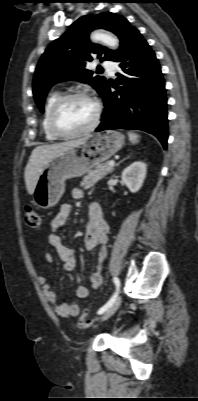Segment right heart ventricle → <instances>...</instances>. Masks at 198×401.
I'll return each instance as SVG.
<instances>
[{
	"label": "right heart ventricle",
	"instance_id": "obj_1",
	"mask_svg": "<svg viewBox=\"0 0 198 401\" xmlns=\"http://www.w3.org/2000/svg\"><path fill=\"white\" fill-rule=\"evenodd\" d=\"M60 96H62V95H61V93L59 91H54L48 96V98H47V100L45 102L42 121H41V127H42V131H43L44 137L48 141H54V140L58 139L55 135L52 134V132L49 129L48 116H49V112L51 110V107L53 106L55 101Z\"/></svg>",
	"mask_w": 198,
	"mask_h": 401
}]
</instances>
